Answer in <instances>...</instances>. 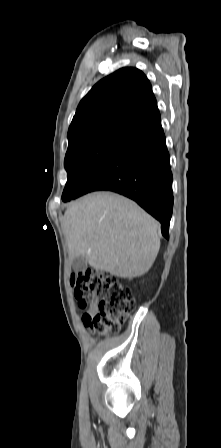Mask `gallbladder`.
Segmentation results:
<instances>
[{"mask_svg": "<svg viewBox=\"0 0 221 448\" xmlns=\"http://www.w3.org/2000/svg\"><path fill=\"white\" fill-rule=\"evenodd\" d=\"M72 266L76 272L84 271L87 267V262L82 257H76L72 261Z\"/></svg>", "mask_w": 221, "mask_h": 448, "instance_id": "obj_1", "label": "gallbladder"}]
</instances>
